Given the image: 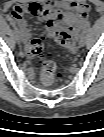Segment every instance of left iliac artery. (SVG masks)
I'll return each instance as SVG.
<instances>
[{
    "label": "left iliac artery",
    "instance_id": "left-iliac-artery-1",
    "mask_svg": "<svg viewBox=\"0 0 104 137\" xmlns=\"http://www.w3.org/2000/svg\"><path fill=\"white\" fill-rule=\"evenodd\" d=\"M89 27H90V23L88 22L82 31V35H84L88 31Z\"/></svg>",
    "mask_w": 104,
    "mask_h": 137
}]
</instances>
